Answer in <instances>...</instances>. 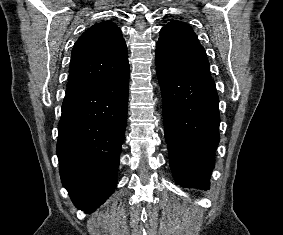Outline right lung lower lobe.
Listing matches in <instances>:
<instances>
[{
  "instance_id": "right-lung-lower-lobe-1",
  "label": "right lung lower lobe",
  "mask_w": 283,
  "mask_h": 235,
  "mask_svg": "<svg viewBox=\"0 0 283 235\" xmlns=\"http://www.w3.org/2000/svg\"><path fill=\"white\" fill-rule=\"evenodd\" d=\"M129 71L66 92L57 155L64 187L78 209L92 213L114 192L127 119Z\"/></svg>"
}]
</instances>
